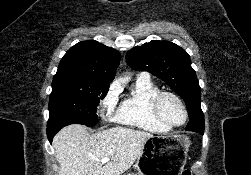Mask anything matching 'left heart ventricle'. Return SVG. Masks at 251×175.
<instances>
[{
	"mask_svg": "<svg viewBox=\"0 0 251 175\" xmlns=\"http://www.w3.org/2000/svg\"><path fill=\"white\" fill-rule=\"evenodd\" d=\"M160 113L171 125H181L185 120V111L181 103L173 96H164L159 104Z\"/></svg>",
	"mask_w": 251,
	"mask_h": 175,
	"instance_id": "1",
	"label": "left heart ventricle"
}]
</instances>
